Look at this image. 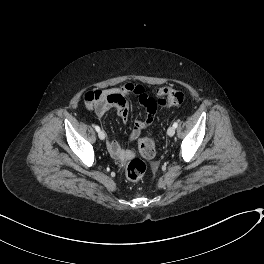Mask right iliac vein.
<instances>
[{"label":"right iliac vein","instance_id":"1","mask_svg":"<svg viewBox=\"0 0 264 264\" xmlns=\"http://www.w3.org/2000/svg\"><path fill=\"white\" fill-rule=\"evenodd\" d=\"M98 137H99L101 140H104L105 137H106L104 131H99V132H98Z\"/></svg>","mask_w":264,"mask_h":264}]
</instances>
